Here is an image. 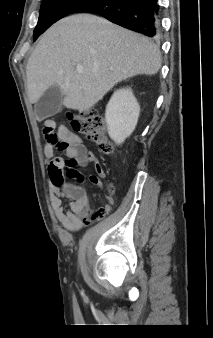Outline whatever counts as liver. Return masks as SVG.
<instances>
[{
	"label": "liver",
	"mask_w": 213,
	"mask_h": 338,
	"mask_svg": "<svg viewBox=\"0 0 213 338\" xmlns=\"http://www.w3.org/2000/svg\"><path fill=\"white\" fill-rule=\"evenodd\" d=\"M160 68L159 46L147 37L101 17L72 15L52 25L29 57L28 96L36 103L57 85L66 108L88 111L118 82Z\"/></svg>",
	"instance_id": "6515ba94"
}]
</instances>
